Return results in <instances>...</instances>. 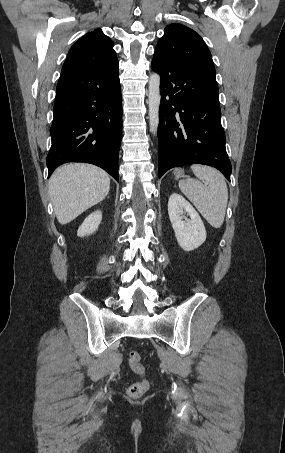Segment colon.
Wrapping results in <instances>:
<instances>
[{
    "instance_id": "colon-1",
    "label": "colon",
    "mask_w": 285,
    "mask_h": 453,
    "mask_svg": "<svg viewBox=\"0 0 285 453\" xmlns=\"http://www.w3.org/2000/svg\"><path fill=\"white\" fill-rule=\"evenodd\" d=\"M129 366L137 374L144 376L145 367L142 363L141 355L138 351H132L129 354ZM149 388V382L143 378L141 381L133 383L128 388L129 396L138 398L142 396Z\"/></svg>"
}]
</instances>
